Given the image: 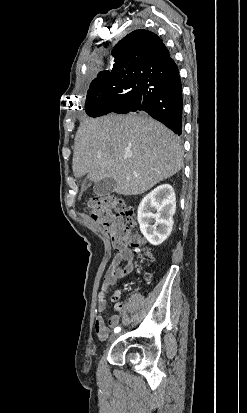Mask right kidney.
I'll return each mask as SVG.
<instances>
[{
    "label": "right kidney",
    "mask_w": 247,
    "mask_h": 413,
    "mask_svg": "<svg viewBox=\"0 0 247 413\" xmlns=\"http://www.w3.org/2000/svg\"><path fill=\"white\" fill-rule=\"evenodd\" d=\"M175 211L176 196L171 184H160L143 196L137 219L142 235L151 245H161L169 237Z\"/></svg>",
    "instance_id": "right-kidney-1"
}]
</instances>
